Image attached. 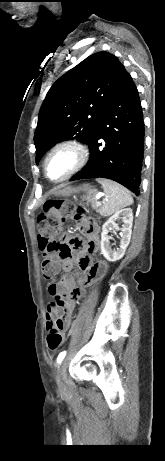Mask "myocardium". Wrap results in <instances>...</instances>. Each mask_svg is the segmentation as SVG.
<instances>
[{
	"mask_svg": "<svg viewBox=\"0 0 165 461\" xmlns=\"http://www.w3.org/2000/svg\"><path fill=\"white\" fill-rule=\"evenodd\" d=\"M61 151H67L70 154H72L73 161L71 166L68 168V170L59 178L57 179H52L49 174H48V162L50 158ZM89 159V151L88 148L86 147L85 144H83L81 141L76 140V139H65L62 141H59L55 143L51 148L47 151L44 160H43V172L45 177L53 183H60L63 182L73 175H75L77 172H79L88 162Z\"/></svg>",
	"mask_w": 165,
	"mask_h": 461,
	"instance_id": "myocardium-1",
	"label": "myocardium"
}]
</instances>
